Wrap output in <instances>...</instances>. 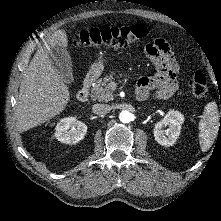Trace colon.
Returning <instances> with one entry per match:
<instances>
[{
  "mask_svg": "<svg viewBox=\"0 0 221 221\" xmlns=\"http://www.w3.org/2000/svg\"><path fill=\"white\" fill-rule=\"evenodd\" d=\"M148 35V29L143 24L123 27L102 26L83 30L75 40L77 46H104L109 48H125ZM191 93L196 98L208 95V86L204 74L197 71L190 82Z\"/></svg>",
  "mask_w": 221,
  "mask_h": 221,
  "instance_id": "1",
  "label": "colon"
}]
</instances>
